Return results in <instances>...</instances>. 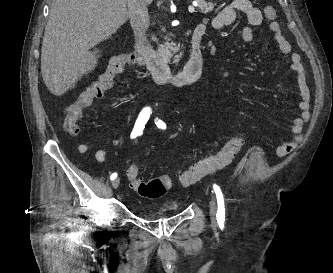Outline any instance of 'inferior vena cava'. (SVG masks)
Returning <instances> with one entry per match:
<instances>
[{
    "mask_svg": "<svg viewBox=\"0 0 333 273\" xmlns=\"http://www.w3.org/2000/svg\"><path fill=\"white\" fill-rule=\"evenodd\" d=\"M128 15L137 41H144L149 27L146 0H128Z\"/></svg>",
    "mask_w": 333,
    "mask_h": 273,
    "instance_id": "1",
    "label": "inferior vena cava"
}]
</instances>
